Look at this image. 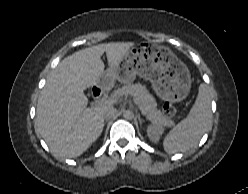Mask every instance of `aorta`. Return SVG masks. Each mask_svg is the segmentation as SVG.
I'll use <instances>...</instances> for the list:
<instances>
[{"mask_svg": "<svg viewBox=\"0 0 248 194\" xmlns=\"http://www.w3.org/2000/svg\"><path fill=\"white\" fill-rule=\"evenodd\" d=\"M123 117H124L125 119H127V120H131V119L134 118V113H133L132 110H125V111L123 112Z\"/></svg>", "mask_w": 248, "mask_h": 194, "instance_id": "1", "label": "aorta"}]
</instances>
